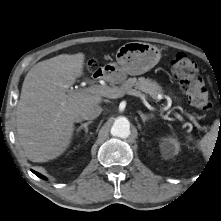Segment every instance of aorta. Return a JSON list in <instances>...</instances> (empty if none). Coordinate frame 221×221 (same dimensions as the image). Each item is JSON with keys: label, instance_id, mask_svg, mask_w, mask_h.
<instances>
[{"label": "aorta", "instance_id": "obj_1", "mask_svg": "<svg viewBox=\"0 0 221 221\" xmlns=\"http://www.w3.org/2000/svg\"><path fill=\"white\" fill-rule=\"evenodd\" d=\"M130 133L129 120L123 116L117 117L112 125L111 134L119 138H128Z\"/></svg>", "mask_w": 221, "mask_h": 221}]
</instances>
